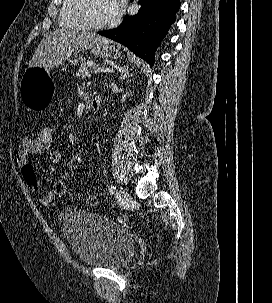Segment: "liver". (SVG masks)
Wrapping results in <instances>:
<instances>
[{
  "mask_svg": "<svg viewBox=\"0 0 272 303\" xmlns=\"http://www.w3.org/2000/svg\"><path fill=\"white\" fill-rule=\"evenodd\" d=\"M107 41L110 40L90 31L55 30L38 45L28 68L44 66L51 61L64 59L80 51L90 50Z\"/></svg>",
  "mask_w": 272,
  "mask_h": 303,
  "instance_id": "1",
  "label": "liver"
}]
</instances>
